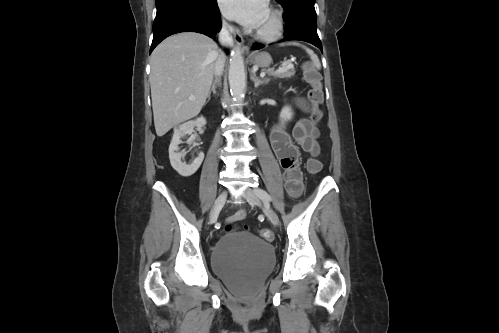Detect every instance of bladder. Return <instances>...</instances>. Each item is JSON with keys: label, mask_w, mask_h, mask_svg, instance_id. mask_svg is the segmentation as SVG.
<instances>
[{"label": "bladder", "mask_w": 499, "mask_h": 333, "mask_svg": "<svg viewBox=\"0 0 499 333\" xmlns=\"http://www.w3.org/2000/svg\"><path fill=\"white\" fill-rule=\"evenodd\" d=\"M215 274L234 288H247L262 281L275 265L271 244L250 232L226 233L211 251Z\"/></svg>", "instance_id": "bladder-1"}]
</instances>
